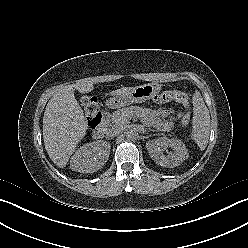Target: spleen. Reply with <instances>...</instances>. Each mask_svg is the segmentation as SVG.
<instances>
[{
    "mask_svg": "<svg viewBox=\"0 0 248 248\" xmlns=\"http://www.w3.org/2000/svg\"><path fill=\"white\" fill-rule=\"evenodd\" d=\"M193 120L192 138L201 150L207 146L209 139L210 115L199 91H196L192 98Z\"/></svg>",
    "mask_w": 248,
    "mask_h": 248,
    "instance_id": "3e777b00",
    "label": "spleen"
}]
</instances>
